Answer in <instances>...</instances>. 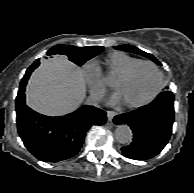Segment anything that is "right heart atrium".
<instances>
[{
  "label": "right heart atrium",
  "instance_id": "right-heart-atrium-1",
  "mask_svg": "<svg viewBox=\"0 0 194 193\" xmlns=\"http://www.w3.org/2000/svg\"><path fill=\"white\" fill-rule=\"evenodd\" d=\"M83 74L91 95L95 99H101L104 96L107 87L96 63L93 61L86 62L83 65Z\"/></svg>",
  "mask_w": 194,
  "mask_h": 193
}]
</instances>
